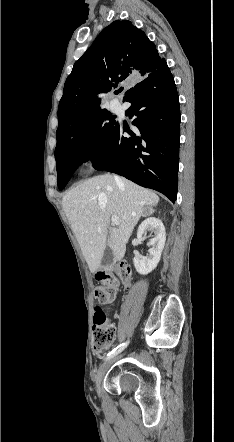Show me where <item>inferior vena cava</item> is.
<instances>
[{"mask_svg":"<svg viewBox=\"0 0 234 442\" xmlns=\"http://www.w3.org/2000/svg\"><path fill=\"white\" fill-rule=\"evenodd\" d=\"M114 178L117 182H120V178L118 176H114Z\"/></svg>","mask_w":234,"mask_h":442,"instance_id":"602c4592","label":"inferior vena cava"}]
</instances>
